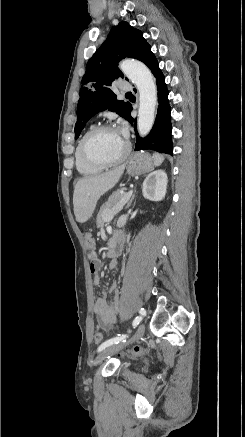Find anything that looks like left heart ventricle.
<instances>
[{
  "label": "left heart ventricle",
  "mask_w": 245,
  "mask_h": 437,
  "mask_svg": "<svg viewBox=\"0 0 245 437\" xmlns=\"http://www.w3.org/2000/svg\"><path fill=\"white\" fill-rule=\"evenodd\" d=\"M126 148V139L118 130H107L95 135L88 144L90 154L100 160H114Z\"/></svg>",
  "instance_id": "left-heart-ventricle-1"
}]
</instances>
